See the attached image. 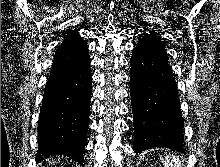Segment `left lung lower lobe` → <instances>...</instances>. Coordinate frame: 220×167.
<instances>
[{
	"label": "left lung lower lobe",
	"instance_id": "obj_1",
	"mask_svg": "<svg viewBox=\"0 0 220 167\" xmlns=\"http://www.w3.org/2000/svg\"><path fill=\"white\" fill-rule=\"evenodd\" d=\"M130 94L135 151L165 147L184 152V121L167 53L134 49Z\"/></svg>",
	"mask_w": 220,
	"mask_h": 167
}]
</instances>
